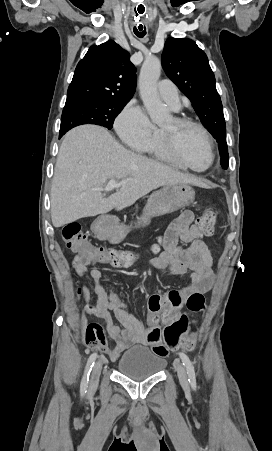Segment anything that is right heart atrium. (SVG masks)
<instances>
[{"mask_svg": "<svg viewBox=\"0 0 272 451\" xmlns=\"http://www.w3.org/2000/svg\"><path fill=\"white\" fill-rule=\"evenodd\" d=\"M116 127L123 139L135 147L148 143L156 132L145 110L133 102L118 116Z\"/></svg>", "mask_w": 272, "mask_h": 451, "instance_id": "obj_1", "label": "right heart atrium"}]
</instances>
